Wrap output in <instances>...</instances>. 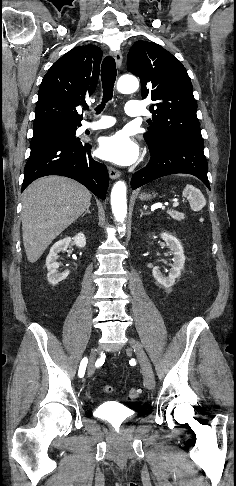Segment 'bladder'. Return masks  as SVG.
Returning a JSON list of instances; mask_svg holds the SVG:
<instances>
[{"label": "bladder", "mask_w": 236, "mask_h": 486, "mask_svg": "<svg viewBox=\"0 0 236 486\" xmlns=\"http://www.w3.org/2000/svg\"><path fill=\"white\" fill-rule=\"evenodd\" d=\"M96 414L102 419H106L115 423H122L132 418V413L124 409L122 406L112 403L103 402L95 408Z\"/></svg>", "instance_id": "31cf9c89"}]
</instances>
